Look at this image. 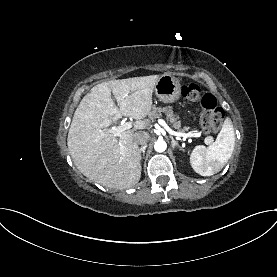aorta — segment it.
Here are the masks:
<instances>
[{"label": "aorta", "mask_w": 277, "mask_h": 277, "mask_svg": "<svg viewBox=\"0 0 277 277\" xmlns=\"http://www.w3.org/2000/svg\"><path fill=\"white\" fill-rule=\"evenodd\" d=\"M167 148V144L164 140H157L154 144V149L157 152H164Z\"/></svg>", "instance_id": "762f6f07"}]
</instances>
